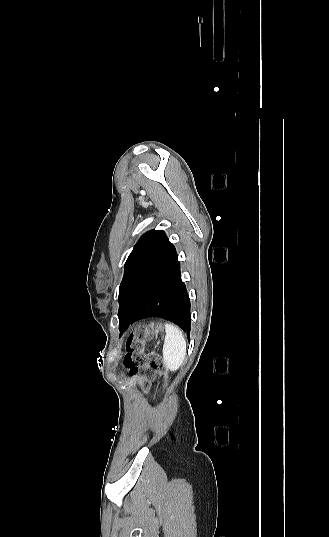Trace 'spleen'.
Returning a JSON list of instances; mask_svg holds the SVG:
<instances>
[{
    "mask_svg": "<svg viewBox=\"0 0 329 537\" xmlns=\"http://www.w3.org/2000/svg\"><path fill=\"white\" fill-rule=\"evenodd\" d=\"M166 336L163 345V359L171 371H176L186 356V341L178 327L166 324Z\"/></svg>",
    "mask_w": 329,
    "mask_h": 537,
    "instance_id": "obj_1",
    "label": "spleen"
}]
</instances>
